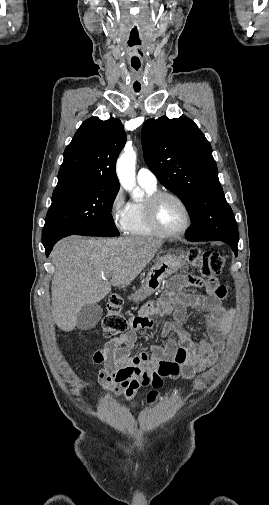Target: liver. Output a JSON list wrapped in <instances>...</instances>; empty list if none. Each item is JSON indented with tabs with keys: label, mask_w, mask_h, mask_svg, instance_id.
<instances>
[{
	"label": "liver",
	"mask_w": 269,
	"mask_h": 505,
	"mask_svg": "<svg viewBox=\"0 0 269 505\" xmlns=\"http://www.w3.org/2000/svg\"><path fill=\"white\" fill-rule=\"evenodd\" d=\"M162 241L147 237L86 239L70 236L60 240L51 253L52 315L63 331L77 325L81 308L101 301L111 286L132 282L154 257ZM111 277L110 281L105 276Z\"/></svg>",
	"instance_id": "6515ba94"
}]
</instances>
